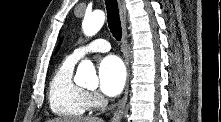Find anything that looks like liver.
I'll list each match as a JSON object with an SVG mask.
<instances>
[{"instance_id":"liver-1","label":"liver","mask_w":221,"mask_h":122,"mask_svg":"<svg viewBox=\"0 0 221 122\" xmlns=\"http://www.w3.org/2000/svg\"><path fill=\"white\" fill-rule=\"evenodd\" d=\"M49 122H103L101 118L97 117H84V118H55Z\"/></svg>"}]
</instances>
